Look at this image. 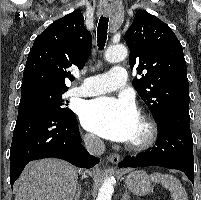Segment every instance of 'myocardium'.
<instances>
[{"instance_id":"myocardium-1","label":"myocardium","mask_w":201,"mask_h":200,"mask_svg":"<svg viewBox=\"0 0 201 200\" xmlns=\"http://www.w3.org/2000/svg\"><path fill=\"white\" fill-rule=\"evenodd\" d=\"M139 119L143 124L144 134L141 139L128 144L129 149L134 151H140L151 147L158 136V127L150 116L141 113Z\"/></svg>"}]
</instances>
